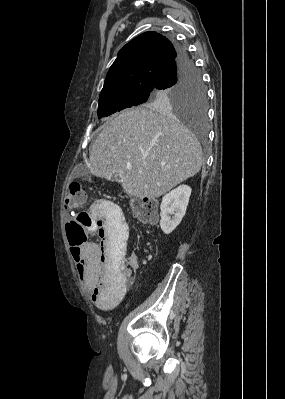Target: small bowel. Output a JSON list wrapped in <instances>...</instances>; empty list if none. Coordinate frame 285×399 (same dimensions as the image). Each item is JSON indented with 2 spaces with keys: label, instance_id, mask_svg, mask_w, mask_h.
Listing matches in <instances>:
<instances>
[{
  "label": "small bowel",
  "instance_id": "c3829d8e",
  "mask_svg": "<svg viewBox=\"0 0 285 399\" xmlns=\"http://www.w3.org/2000/svg\"><path fill=\"white\" fill-rule=\"evenodd\" d=\"M105 211H108L106 218L103 217ZM89 215L91 221L85 231L96 233L100 241L86 242L78 247L76 266L81 269L83 283L91 289L94 305L100 310H109L122 299L127 287L126 280L118 276V270L123 266L135 268L137 257H124L128 224L111 201L104 198L94 200ZM113 245L119 248L116 255L111 250Z\"/></svg>",
  "mask_w": 285,
  "mask_h": 399
}]
</instances>
